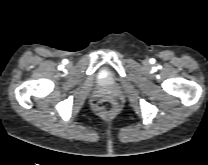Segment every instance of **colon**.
I'll list each match as a JSON object with an SVG mask.
<instances>
[{
  "label": "colon",
  "instance_id": "colon-1",
  "mask_svg": "<svg viewBox=\"0 0 208 165\" xmlns=\"http://www.w3.org/2000/svg\"><path fill=\"white\" fill-rule=\"evenodd\" d=\"M97 112L102 117H109L116 111V104L110 99H101L96 104Z\"/></svg>",
  "mask_w": 208,
  "mask_h": 165
}]
</instances>
